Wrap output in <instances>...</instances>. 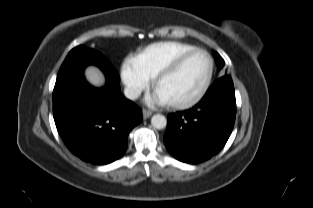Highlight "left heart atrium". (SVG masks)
Segmentation results:
<instances>
[{"mask_svg":"<svg viewBox=\"0 0 313 208\" xmlns=\"http://www.w3.org/2000/svg\"><path fill=\"white\" fill-rule=\"evenodd\" d=\"M154 100H155L156 102L160 103V104H165V103H167V101H166L164 98H162L161 96H159L158 94H156V96L154 97Z\"/></svg>","mask_w":313,"mask_h":208,"instance_id":"obj_1","label":"left heart atrium"}]
</instances>
